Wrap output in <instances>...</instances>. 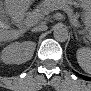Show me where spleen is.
I'll return each instance as SVG.
<instances>
[{"label": "spleen", "instance_id": "obj_1", "mask_svg": "<svg viewBox=\"0 0 91 91\" xmlns=\"http://www.w3.org/2000/svg\"><path fill=\"white\" fill-rule=\"evenodd\" d=\"M76 55L81 68L89 73L91 70V50L87 47H83L77 50Z\"/></svg>", "mask_w": 91, "mask_h": 91}]
</instances>
